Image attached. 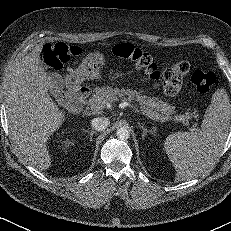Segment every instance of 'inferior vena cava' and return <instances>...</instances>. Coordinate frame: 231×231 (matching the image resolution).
<instances>
[{"instance_id":"602c4592","label":"inferior vena cava","mask_w":231,"mask_h":231,"mask_svg":"<svg viewBox=\"0 0 231 231\" xmlns=\"http://www.w3.org/2000/svg\"><path fill=\"white\" fill-rule=\"evenodd\" d=\"M110 123V120L106 117H96L92 120L91 126L96 131L105 130Z\"/></svg>"}]
</instances>
